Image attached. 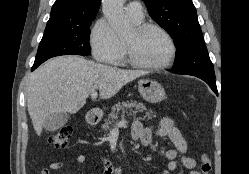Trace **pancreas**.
I'll use <instances>...</instances> for the list:
<instances>
[{
  "instance_id": "obj_1",
  "label": "pancreas",
  "mask_w": 249,
  "mask_h": 174,
  "mask_svg": "<svg viewBox=\"0 0 249 174\" xmlns=\"http://www.w3.org/2000/svg\"><path fill=\"white\" fill-rule=\"evenodd\" d=\"M134 109V110H133ZM131 111L133 112V115L136 112H143L146 111V116L150 118L153 114V111L151 109H148L143 103H138L137 101H123L119 102L116 105L112 107V112L108 115L107 119H105V123L102 125V129L104 132H108L111 130V127L115 120L118 119L119 114L121 113V116L124 117L125 115H132Z\"/></svg>"
}]
</instances>
